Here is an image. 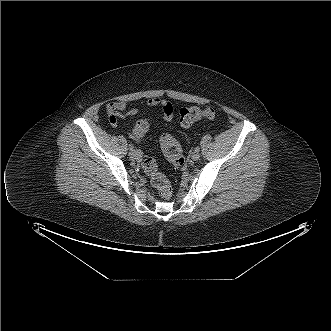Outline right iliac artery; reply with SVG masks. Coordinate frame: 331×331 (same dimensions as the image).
Returning a JSON list of instances; mask_svg holds the SVG:
<instances>
[{
    "instance_id": "1",
    "label": "right iliac artery",
    "mask_w": 331,
    "mask_h": 331,
    "mask_svg": "<svg viewBox=\"0 0 331 331\" xmlns=\"http://www.w3.org/2000/svg\"><path fill=\"white\" fill-rule=\"evenodd\" d=\"M129 149L132 150L134 148L133 144H129Z\"/></svg>"
}]
</instances>
